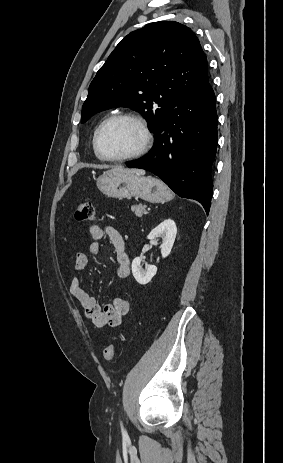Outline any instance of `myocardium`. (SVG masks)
I'll return each instance as SVG.
<instances>
[{"label": "myocardium", "instance_id": "myocardium-1", "mask_svg": "<svg viewBox=\"0 0 283 463\" xmlns=\"http://www.w3.org/2000/svg\"><path fill=\"white\" fill-rule=\"evenodd\" d=\"M131 120L135 122L141 129L143 135V141L140 148L132 154L121 156V157H109L105 156L100 149V136L102 131L112 122L117 120ZM153 144V134L147 123V121L139 114L133 112H123L114 114L105 119L96 129L93 137V147L96 155L103 161L107 162H127L145 155Z\"/></svg>", "mask_w": 283, "mask_h": 463}]
</instances>
